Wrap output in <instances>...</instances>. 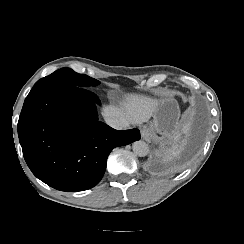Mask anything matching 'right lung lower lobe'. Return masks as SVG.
Returning a JSON list of instances; mask_svg holds the SVG:
<instances>
[{"label":"right lung lower lobe","mask_w":244,"mask_h":244,"mask_svg":"<svg viewBox=\"0 0 244 244\" xmlns=\"http://www.w3.org/2000/svg\"><path fill=\"white\" fill-rule=\"evenodd\" d=\"M96 94L71 85L32 88L18 121L24 159L33 174L61 191H83L102 179L113 148L140 139L138 129L98 121Z\"/></svg>","instance_id":"right-lung-lower-lobe-1"}]
</instances>
